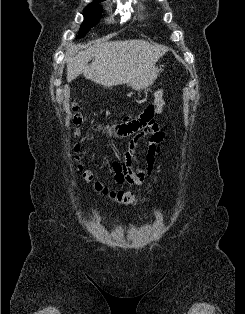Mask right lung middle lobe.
<instances>
[{"label":"right lung middle lobe","mask_w":245,"mask_h":314,"mask_svg":"<svg viewBox=\"0 0 245 314\" xmlns=\"http://www.w3.org/2000/svg\"><path fill=\"white\" fill-rule=\"evenodd\" d=\"M98 2H92L84 9V22L79 30L78 38L85 36V34L99 21L102 14V7Z\"/></svg>","instance_id":"obj_1"}]
</instances>
